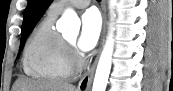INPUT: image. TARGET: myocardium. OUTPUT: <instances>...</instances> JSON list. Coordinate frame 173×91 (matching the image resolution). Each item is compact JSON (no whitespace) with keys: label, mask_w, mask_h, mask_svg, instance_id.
<instances>
[{"label":"myocardium","mask_w":173,"mask_h":91,"mask_svg":"<svg viewBox=\"0 0 173 91\" xmlns=\"http://www.w3.org/2000/svg\"><path fill=\"white\" fill-rule=\"evenodd\" d=\"M66 46L72 71L79 69L82 65V62L80 57L77 55L73 44L70 42H66Z\"/></svg>","instance_id":"myocardium-1"}]
</instances>
